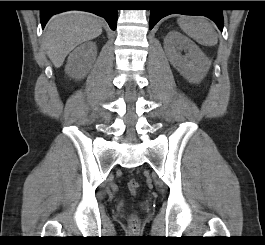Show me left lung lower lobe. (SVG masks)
Listing matches in <instances>:
<instances>
[{
    "mask_svg": "<svg viewBox=\"0 0 265 245\" xmlns=\"http://www.w3.org/2000/svg\"><path fill=\"white\" fill-rule=\"evenodd\" d=\"M161 8H155L150 13V30L155 24L163 17L178 13L184 15H203L212 19L219 29L223 30L224 20L222 9L211 7L214 6L216 1H158ZM193 5L210 6L209 8H191Z\"/></svg>",
    "mask_w": 265,
    "mask_h": 245,
    "instance_id": "1",
    "label": "left lung lower lobe"
}]
</instances>
